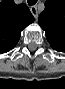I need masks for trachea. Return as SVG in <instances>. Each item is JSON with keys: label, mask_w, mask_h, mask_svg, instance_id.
<instances>
[{"label": "trachea", "mask_w": 65, "mask_h": 89, "mask_svg": "<svg viewBox=\"0 0 65 89\" xmlns=\"http://www.w3.org/2000/svg\"><path fill=\"white\" fill-rule=\"evenodd\" d=\"M28 5L33 6L37 3V0H27Z\"/></svg>", "instance_id": "3493384b"}]
</instances>
